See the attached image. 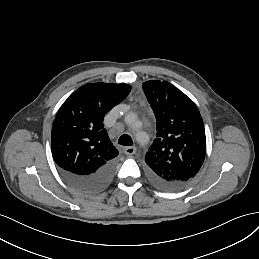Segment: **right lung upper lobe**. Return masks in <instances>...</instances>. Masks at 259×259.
<instances>
[{"label": "right lung upper lobe", "mask_w": 259, "mask_h": 259, "mask_svg": "<svg viewBox=\"0 0 259 259\" xmlns=\"http://www.w3.org/2000/svg\"><path fill=\"white\" fill-rule=\"evenodd\" d=\"M130 90L127 84L89 83L64 102L51 132L52 156L61 169L90 174L118 155L103 120Z\"/></svg>", "instance_id": "1"}]
</instances>
